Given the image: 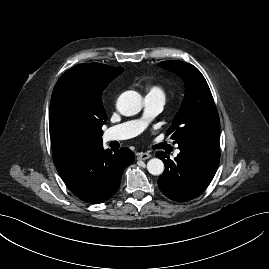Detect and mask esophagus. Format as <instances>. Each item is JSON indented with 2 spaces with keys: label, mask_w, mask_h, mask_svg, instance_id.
Returning a JSON list of instances; mask_svg holds the SVG:
<instances>
[{
  "label": "esophagus",
  "mask_w": 269,
  "mask_h": 269,
  "mask_svg": "<svg viewBox=\"0 0 269 269\" xmlns=\"http://www.w3.org/2000/svg\"><path fill=\"white\" fill-rule=\"evenodd\" d=\"M149 158H151V154L150 153L141 152V153H138L137 154V159L138 160H146V159H149Z\"/></svg>",
  "instance_id": "34e87169"
}]
</instances>
